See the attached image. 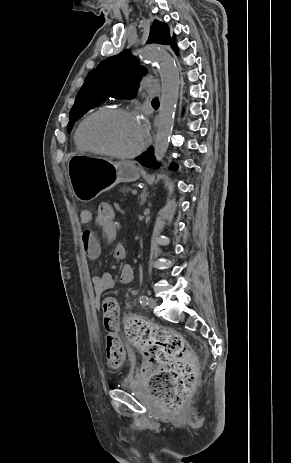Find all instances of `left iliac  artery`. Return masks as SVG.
Returning <instances> with one entry per match:
<instances>
[{
	"instance_id": "44dca946",
	"label": "left iliac artery",
	"mask_w": 291,
	"mask_h": 463,
	"mask_svg": "<svg viewBox=\"0 0 291 463\" xmlns=\"http://www.w3.org/2000/svg\"><path fill=\"white\" fill-rule=\"evenodd\" d=\"M140 303H141L142 305H147V304H148V297H147L146 295H142V296L140 297Z\"/></svg>"
}]
</instances>
